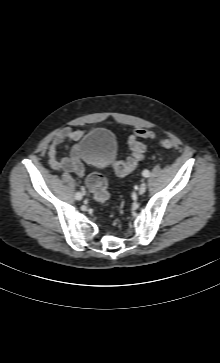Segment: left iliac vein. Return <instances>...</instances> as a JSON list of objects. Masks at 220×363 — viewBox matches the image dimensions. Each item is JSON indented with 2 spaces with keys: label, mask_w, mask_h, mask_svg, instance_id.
Returning <instances> with one entry per match:
<instances>
[{
  "label": "left iliac vein",
  "mask_w": 220,
  "mask_h": 363,
  "mask_svg": "<svg viewBox=\"0 0 220 363\" xmlns=\"http://www.w3.org/2000/svg\"><path fill=\"white\" fill-rule=\"evenodd\" d=\"M145 191H146V184L142 183L139 187L138 193H139V195H142L145 193Z\"/></svg>",
  "instance_id": "left-iliac-vein-1"
}]
</instances>
